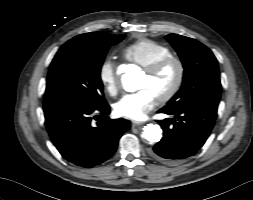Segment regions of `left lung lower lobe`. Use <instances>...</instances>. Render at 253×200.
<instances>
[{
  "mask_svg": "<svg viewBox=\"0 0 253 200\" xmlns=\"http://www.w3.org/2000/svg\"><path fill=\"white\" fill-rule=\"evenodd\" d=\"M218 106L199 104L188 108L170 110L165 107L159 113L173 115L157 122L163 129V137L150 151V156L163 164H177L193 156L207 140Z\"/></svg>",
  "mask_w": 253,
  "mask_h": 200,
  "instance_id": "obj_1",
  "label": "left lung lower lobe"
}]
</instances>
